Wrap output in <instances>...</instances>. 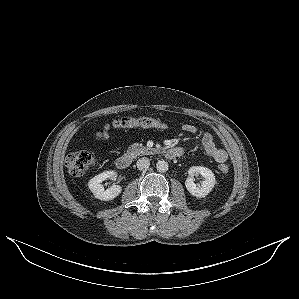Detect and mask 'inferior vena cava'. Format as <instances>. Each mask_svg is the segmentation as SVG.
I'll use <instances>...</instances> for the list:
<instances>
[{
	"mask_svg": "<svg viewBox=\"0 0 299 299\" xmlns=\"http://www.w3.org/2000/svg\"><path fill=\"white\" fill-rule=\"evenodd\" d=\"M150 166V161L147 157H142L137 161V168L139 170H146Z\"/></svg>",
	"mask_w": 299,
	"mask_h": 299,
	"instance_id": "602c4592",
	"label": "inferior vena cava"
}]
</instances>
